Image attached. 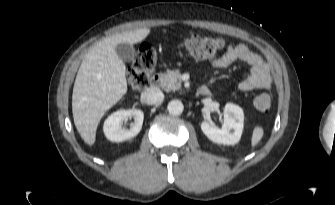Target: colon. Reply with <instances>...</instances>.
<instances>
[{
    "label": "colon",
    "instance_id": "5ec220e1",
    "mask_svg": "<svg viewBox=\"0 0 335 205\" xmlns=\"http://www.w3.org/2000/svg\"><path fill=\"white\" fill-rule=\"evenodd\" d=\"M224 45L225 42L221 38L199 35H192L184 42V47L190 55L199 60L214 58L224 48ZM155 65L156 52L150 45H142L133 59L128 76L132 89L139 91L149 85ZM271 103L272 97L268 92H263L254 99L255 106L263 111L267 110L271 106Z\"/></svg>",
    "mask_w": 335,
    "mask_h": 205
}]
</instances>
